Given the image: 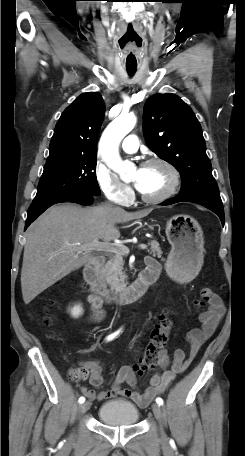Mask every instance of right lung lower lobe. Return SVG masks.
<instances>
[{
  "label": "right lung lower lobe",
  "instance_id": "obj_1",
  "mask_svg": "<svg viewBox=\"0 0 245 456\" xmlns=\"http://www.w3.org/2000/svg\"><path fill=\"white\" fill-rule=\"evenodd\" d=\"M94 195L90 194H72V195H64L59 196L56 198L48 199L45 201L32 203L28 210V217L26 220L25 229L39 216L41 215L47 208L52 206L56 203L61 202H73L78 203L81 205H91L94 202Z\"/></svg>",
  "mask_w": 245,
  "mask_h": 456
}]
</instances>
